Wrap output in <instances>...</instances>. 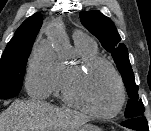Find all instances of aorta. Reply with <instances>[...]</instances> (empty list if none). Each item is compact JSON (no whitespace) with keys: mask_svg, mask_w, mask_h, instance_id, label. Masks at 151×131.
<instances>
[{"mask_svg":"<svg viewBox=\"0 0 151 131\" xmlns=\"http://www.w3.org/2000/svg\"><path fill=\"white\" fill-rule=\"evenodd\" d=\"M50 39L57 47V52L60 57L66 58L70 56V45L63 32L60 21H56L49 32Z\"/></svg>","mask_w":151,"mask_h":131,"instance_id":"1","label":"aorta"}]
</instances>
